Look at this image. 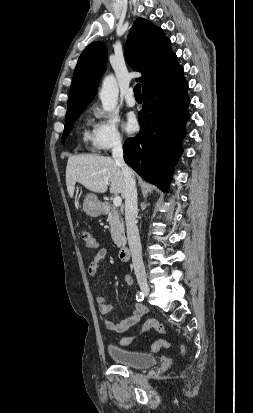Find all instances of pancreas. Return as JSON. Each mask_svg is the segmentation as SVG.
Instances as JSON below:
<instances>
[{"label": "pancreas", "instance_id": "pancreas-1", "mask_svg": "<svg viewBox=\"0 0 253 413\" xmlns=\"http://www.w3.org/2000/svg\"><path fill=\"white\" fill-rule=\"evenodd\" d=\"M107 221L109 222L110 225V232H111V237L114 241V243L118 246L121 247L126 240H125V228H124V222L123 219L120 216V213L116 208H113L108 217Z\"/></svg>", "mask_w": 253, "mask_h": 413}]
</instances>
